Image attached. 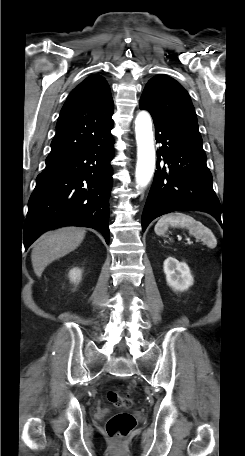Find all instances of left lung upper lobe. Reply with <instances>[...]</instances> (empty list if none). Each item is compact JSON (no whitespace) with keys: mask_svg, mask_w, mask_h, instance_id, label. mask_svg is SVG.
I'll use <instances>...</instances> for the list:
<instances>
[{"mask_svg":"<svg viewBox=\"0 0 245 456\" xmlns=\"http://www.w3.org/2000/svg\"><path fill=\"white\" fill-rule=\"evenodd\" d=\"M140 108L201 139L195 109L187 91L173 78L157 75L146 84Z\"/></svg>","mask_w":245,"mask_h":456,"instance_id":"obj_1","label":"left lung upper lobe"}]
</instances>
